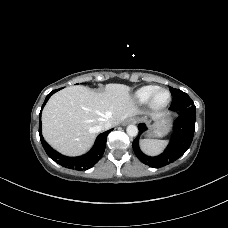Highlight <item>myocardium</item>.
I'll use <instances>...</instances> for the list:
<instances>
[{"label":"myocardium","mask_w":228,"mask_h":228,"mask_svg":"<svg viewBox=\"0 0 228 228\" xmlns=\"http://www.w3.org/2000/svg\"><path fill=\"white\" fill-rule=\"evenodd\" d=\"M161 91H165L168 95V98L167 100L164 102V103H161V104H158L156 102V97L157 95L161 92ZM171 102V93L169 92V90L165 89V88H161V87H158L154 92L153 94L151 95V97L149 98L148 100V106L149 108L152 110V111H161V110H164L165 108H167L169 106Z\"/></svg>","instance_id":"myocardium-1"}]
</instances>
